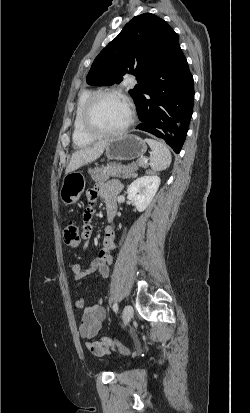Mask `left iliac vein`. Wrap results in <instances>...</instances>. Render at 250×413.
I'll return each instance as SVG.
<instances>
[{
  "label": "left iliac vein",
  "instance_id": "left-iliac-vein-1",
  "mask_svg": "<svg viewBox=\"0 0 250 413\" xmlns=\"http://www.w3.org/2000/svg\"><path fill=\"white\" fill-rule=\"evenodd\" d=\"M132 317H133V307L131 305H126L123 309V314H122L124 324L125 325L128 324Z\"/></svg>",
  "mask_w": 250,
  "mask_h": 413
}]
</instances>
